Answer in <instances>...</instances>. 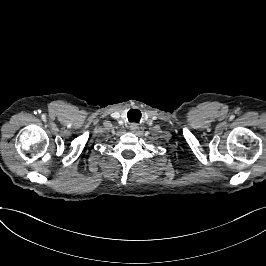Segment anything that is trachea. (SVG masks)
<instances>
[{
	"mask_svg": "<svg viewBox=\"0 0 266 266\" xmlns=\"http://www.w3.org/2000/svg\"><path fill=\"white\" fill-rule=\"evenodd\" d=\"M136 109H131L129 112H128V119H129V121H136L135 120V113H136Z\"/></svg>",
	"mask_w": 266,
	"mask_h": 266,
	"instance_id": "trachea-1",
	"label": "trachea"
}]
</instances>
